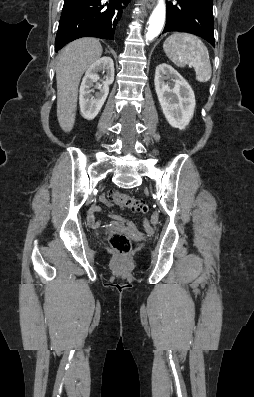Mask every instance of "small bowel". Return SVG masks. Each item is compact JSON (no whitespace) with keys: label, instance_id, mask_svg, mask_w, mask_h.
Segmentation results:
<instances>
[{"label":"small bowel","instance_id":"small-bowel-1","mask_svg":"<svg viewBox=\"0 0 254 397\" xmlns=\"http://www.w3.org/2000/svg\"><path fill=\"white\" fill-rule=\"evenodd\" d=\"M101 201L105 205H109L110 201L106 196L101 198ZM101 208L99 206H92L88 212L87 216V224L93 229H99L102 227L103 222L95 217V213L99 212ZM113 222L110 224L113 227L122 228L124 226V220L119 217L118 215H111ZM146 231L147 233H152V228L149 224H146Z\"/></svg>","mask_w":254,"mask_h":397}]
</instances>
